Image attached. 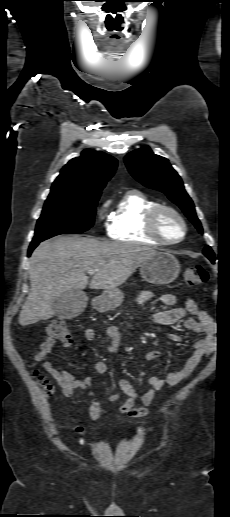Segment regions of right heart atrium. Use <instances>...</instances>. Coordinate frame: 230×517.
Instances as JSON below:
<instances>
[{"mask_svg":"<svg viewBox=\"0 0 230 517\" xmlns=\"http://www.w3.org/2000/svg\"><path fill=\"white\" fill-rule=\"evenodd\" d=\"M108 204L109 202L108 201H104L100 207L98 208V217H99V220L101 221V223L103 225H105L106 221H107V208H108Z\"/></svg>","mask_w":230,"mask_h":517,"instance_id":"1","label":"right heart atrium"}]
</instances>
